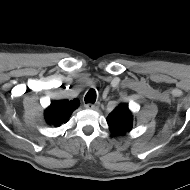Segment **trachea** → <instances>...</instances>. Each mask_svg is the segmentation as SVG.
I'll use <instances>...</instances> for the list:
<instances>
[{
    "mask_svg": "<svg viewBox=\"0 0 190 190\" xmlns=\"http://www.w3.org/2000/svg\"><path fill=\"white\" fill-rule=\"evenodd\" d=\"M85 103H92L94 104L96 101V92L94 89H90L87 94L85 95Z\"/></svg>",
    "mask_w": 190,
    "mask_h": 190,
    "instance_id": "3493384b",
    "label": "trachea"
}]
</instances>
